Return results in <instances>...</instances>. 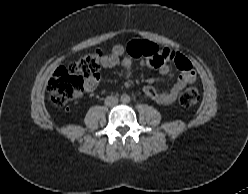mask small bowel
<instances>
[{
    "mask_svg": "<svg viewBox=\"0 0 248 194\" xmlns=\"http://www.w3.org/2000/svg\"><path fill=\"white\" fill-rule=\"evenodd\" d=\"M173 52L170 50H165L159 53L156 57H150L143 61V64L150 65V66H156L158 67L159 72L162 75H168L170 73V67L165 62L156 64V59L160 57H169ZM183 57V56H182ZM176 67L181 70V75L179 78L171 85V87L167 90L158 91L151 85H145L143 87L144 94L151 98L152 100L163 104L168 105L173 103L178 94L184 87L192 82L195 81L196 76L195 72L192 68L191 63L183 57L182 61H178L176 59L173 60ZM117 66H122L124 69V72L128 75L132 69V59L130 57V54L127 51V47H124L123 45H115L112 48V51L109 55L105 56L102 61V67L105 69L113 68ZM100 81V76H93L85 79L84 82V90L85 92H93Z\"/></svg>",
    "mask_w": 248,
    "mask_h": 194,
    "instance_id": "1",
    "label": "small bowel"
}]
</instances>
